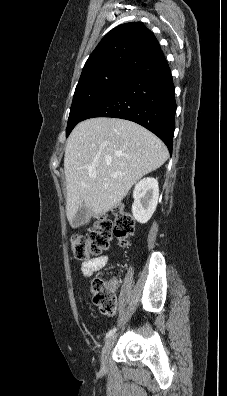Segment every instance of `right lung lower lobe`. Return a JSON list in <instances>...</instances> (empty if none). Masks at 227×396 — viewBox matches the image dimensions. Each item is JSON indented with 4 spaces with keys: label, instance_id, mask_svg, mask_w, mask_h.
Here are the masks:
<instances>
[{
    "label": "right lung lower lobe",
    "instance_id": "1",
    "mask_svg": "<svg viewBox=\"0 0 227 396\" xmlns=\"http://www.w3.org/2000/svg\"><path fill=\"white\" fill-rule=\"evenodd\" d=\"M175 113L173 79L161 51L132 70L83 120L114 117L136 122L157 135L172 153Z\"/></svg>",
    "mask_w": 227,
    "mask_h": 396
}]
</instances>
